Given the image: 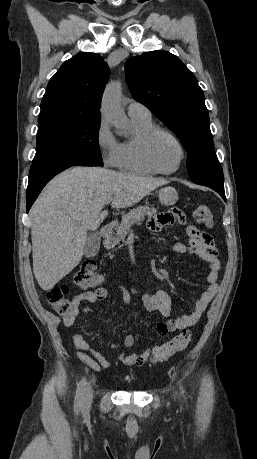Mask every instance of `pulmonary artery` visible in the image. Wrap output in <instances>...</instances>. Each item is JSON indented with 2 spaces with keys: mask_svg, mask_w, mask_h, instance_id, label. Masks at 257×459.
<instances>
[{
  "mask_svg": "<svg viewBox=\"0 0 257 459\" xmlns=\"http://www.w3.org/2000/svg\"><path fill=\"white\" fill-rule=\"evenodd\" d=\"M127 110L129 116L151 117V112L149 109L145 105L136 101H132L128 105Z\"/></svg>",
  "mask_w": 257,
  "mask_h": 459,
  "instance_id": "pulmonary-artery-1",
  "label": "pulmonary artery"
}]
</instances>
